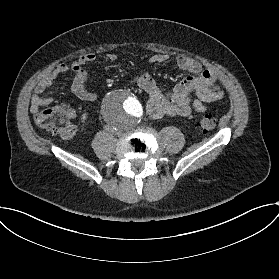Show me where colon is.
Masks as SVG:
<instances>
[{
    "mask_svg": "<svg viewBox=\"0 0 279 279\" xmlns=\"http://www.w3.org/2000/svg\"><path fill=\"white\" fill-rule=\"evenodd\" d=\"M73 110L66 103H59L54 107L42 109L36 115V122L45 131L58 135L61 138H70L75 133V128L71 123ZM216 126L215 118L212 114L201 116L198 122V129L201 133H206Z\"/></svg>",
    "mask_w": 279,
    "mask_h": 279,
    "instance_id": "colon-1",
    "label": "colon"
}]
</instances>
